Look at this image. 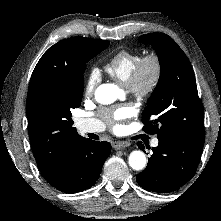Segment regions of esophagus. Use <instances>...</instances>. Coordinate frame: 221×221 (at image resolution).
Wrapping results in <instances>:
<instances>
[{"label": "esophagus", "mask_w": 221, "mask_h": 221, "mask_svg": "<svg viewBox=\"0 0 221 221\" xmlns=\"http://www.w3.org/2000/svg\"><path fill=\"white\" fill-rule=\"evenodd\" d=\"M113 148L122 149L130 146V142L126 141H115L112 143Z\"/></svg>", "instance_id": "esophagus-1"}]
</instances>
